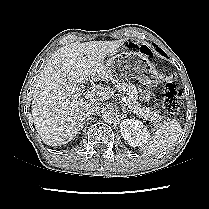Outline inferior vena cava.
<instances>
[{
  "instance_id": "1",
  "label": "inferior vena cava",
  "mask_w": 209,
  "mask_h": 209,
  "mask_svg": "<svg viewBox=\"0 0 209 209\" xmlns=\"http://www.w3.org/2000/svg\"><path fill=\"white\" fill-rule=\"evenodd\" d=\"M100 109V103L96 100H92L89 101L86 105H85V112L88 115H93L95 113H97Z\"/></svg>"
}]
</instances>
